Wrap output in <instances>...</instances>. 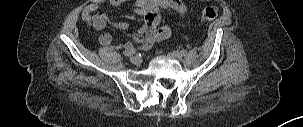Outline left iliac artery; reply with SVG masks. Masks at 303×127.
Returning <instances> with one entry per match:
<instances>
[{"label": "left iliac artery", "instance_id": "44dca946", "mask_svg": "<svg viewBox=\"0 0 303 127\" xmlns=\"http://www.w3.org/2000/svg\"><path fill=\"white\" fill-rule=\"evenodd\" d=\"M180 54H181V56H186L187 51H186V50H181V51H180Z\"/></svg>", "mask_w": 303, "mask_h": 127}]
</instances>
